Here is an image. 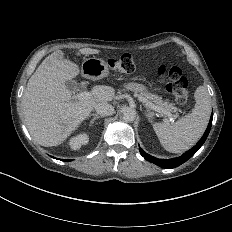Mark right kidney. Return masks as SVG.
<instances>
[{
	"instance_id": "1",
	"label": "right kidney",
	"mask_w": 232,
	"mask_h": 232,
	"mask_svg": "<svg viewBox=\"0 0 232 232\" xmlns=\"http://www.w3.org/2000/svg\"><path fill=\"white\" fill-rule=\"evenodd\" d=\"M87 141H88V138L86 137V135H80V136L72 139L70 144H71V147L73 149H78L81 147V145L86 144Z\"/></svg>"
}]
</instances>
